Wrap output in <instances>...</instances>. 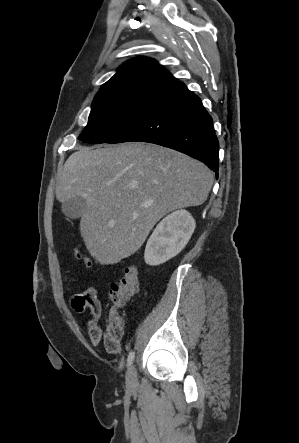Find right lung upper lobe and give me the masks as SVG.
<instances>
[{"mask_svg":"<svg viewBox=\"0 0 299 443\" xmlns=\"http://www.w3.org/2000/svg\"><path fill=\"white\" fill-rule=\"evenodd\" d=\"M179 81L156 60L138 57L122 64L97 94L122 88L156 87L168 89Z\"/></svg>","mask_w":299,"mask_h":443,"instance_id":"right-lung-upper-lobe-1","label":"right lung upper lobe"}]
</instances>
